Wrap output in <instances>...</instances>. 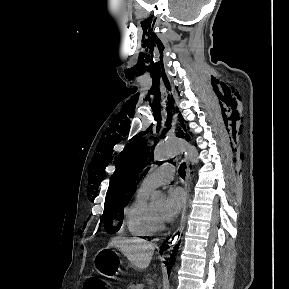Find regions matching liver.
Wrapping results in <instances>:
<instances>
[{
  "instance_id": "obj_1",
  "label": "liver",
  "mask_w": 289,
  "mask_h": 289,
  "mask_svg": "<svg viewBox=\"0 0 289 289\" xmlns=\"http://www.w3.org/2000/svg\"><path fill=\"white\" fill-rule=\"evenodd\" d=\"M118 248L125 257L139 269H146L152 259L154 246L141 239H125L116 237L107 248Z\"/></svg>"
}]
</instances>
